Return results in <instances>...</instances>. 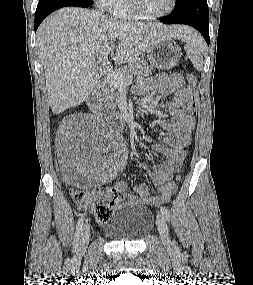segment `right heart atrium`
Masks as SVG:
<instances>
[{"label":"right heart atrium","mask_w":253,"mask_h":285,"mask_svg":"<svg viewBox=\"0 0 253 285\" xmlns=\"http://www.w3.org/2000/svg\"><path fill=\"white\" fill-rule=\"evenodd\" d=\"M97 7L102 10H110L115 0H94Z\"/></svg>","instance_id":"1"}]
</instances>
